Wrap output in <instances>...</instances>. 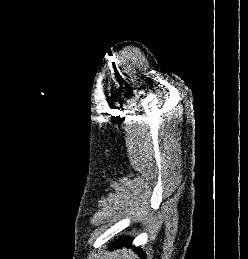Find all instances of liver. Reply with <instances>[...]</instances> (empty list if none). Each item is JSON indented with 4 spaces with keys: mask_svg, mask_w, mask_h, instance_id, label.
<instances>
[{
    "mask_svg": "<svg viewBox=\"0 0 248 259\" xmlns=\"http://www.w3.org/2000/svg\"><path fill=\"white\" fill-rule=\"evenodd\" d=\"M108 259H138L136 255L129 251L127 252L125 249L117 250L114 252Z\"/></svg>",
    "mask_w": 248,
    "mask_h": 259,
    "instance_id": "obj_1",
    "label": "liver"
}]
</instances>
